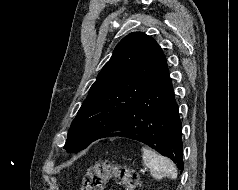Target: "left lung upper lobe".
<instances>
[{
    "instance_id": "obj_1",
    "label": "left lung upper lobe",
    "mask_w": 238,
    "mask_h": 190,
    "mask_svg": "<svg viewBox=\"0 0 238 190\" xmlns=\"http://www.w3.org/2000/svg\"><path fill=\"white\" fill-rule=\"evenodd\" d=\"M166 67V57L153 38L142 32L124 37L91 86L64 149L78 152L108 134Z\"/></svg>"
}]
</instances>
